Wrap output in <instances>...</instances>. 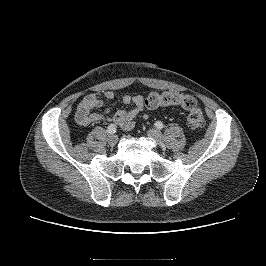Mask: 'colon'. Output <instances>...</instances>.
I'll return each instance as SVG.
<instances>
[{
    "label": "colon",
    "mask_w": 266,
    "mask_h": 266,
    "mask_svg": "<svg viewBox=\"0 0 266 266\" xmlns=\"http://www.w3.org/2000/svg\"><path fill=\"white\" fill-rule=\"evenodd\" d=\"M147 108L154 109L165 106H178L187 111V123L191 130L200 131L204 128V115L197 100L187 94L179 92L151 93L144 101Z\"/></svg>",
    "instance_id": "obj_1"
}]
</instances>
